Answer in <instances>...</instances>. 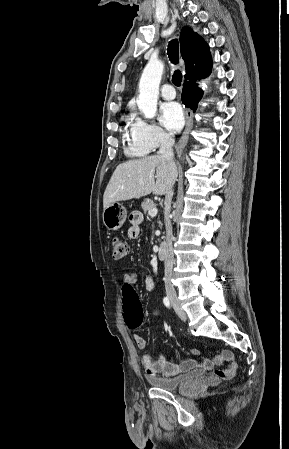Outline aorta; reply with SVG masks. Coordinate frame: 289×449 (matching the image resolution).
<instances>
[{
	"instance_id": "aorta-1",
	"label": "aorta",
	"mask_w": 289,
	"mask_h": 449,
	"mask_svg": "<svg viewBox=\"0 0 289 449\" xmlns=\"http://www.w3.org/2000/svg\"><path fill=\"white\" fill-rule=\"evenodd\" d=\"M163 69L164 64L160 60L150 59L140 78L137 105L146 119H151L156 115L159 84Z\"/></svg>"
}]
</instances>
